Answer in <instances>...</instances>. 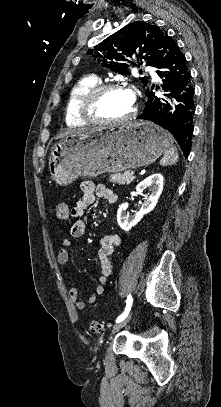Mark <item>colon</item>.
I'll return each instance as SVG.
<instances>
[{
    "instance_id": "colon-1",
    "label": "colon",
    "mask_w": 221,
    "mask_h": 407,
    "mask_svg": "<svg viewBox=\"0 0 221 407\" xmlns=\"http://www.w3.org/2000/svg\"><path fill=\"white\" fill-rule=\"evenodd\" d=\"M71 209L66 204H59L56 209L57 219L64 225L70 222ZM110 328V323L93 320L89 323L88 330L93 334L105 333Z\"/></svg>"
}]
</instances>
